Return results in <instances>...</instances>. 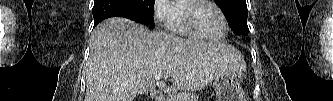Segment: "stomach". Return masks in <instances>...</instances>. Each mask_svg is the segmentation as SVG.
I'll list each match as a JSON object with an SVG mask.
<instances>
[{"label":"stomach","instance_id":"obj_1","mask_svg":"<svg viewBox=\"0 0 333 101\" xmlns=\"http://www.w3.org/2000/svg\"><path fill=\"white\" fill-rule=\"evenodd\" d=\"M243 73L241 70L229 71L214 79L216 101H247L241 86Z\"/></svg>","mask_w":333,"mask_h":101}]
</instances>
